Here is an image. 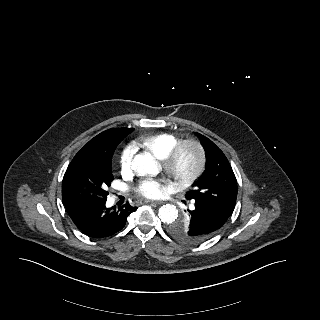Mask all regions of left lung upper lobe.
<instances>
[{
    "instance_id": "5c2ea615",
    "label": "left lung upper lobe",
    "mask_w": 320,
    "mask_h": 320,
    "mask_svg": "<svg viewBox=\"0 0 320 320\" xmlns=\"http://www.w3.org/2000/svg\"><path fill=\"white\" fill-rule=\"evenodd\" d=\"M206 154V168L194 184V189L186 193V199L200 202L230 217L237 198V181L224 153L207 137L196 133ZM187 218L177 219L169 225L170 234L185 243L200 242L191 234L192 226Z\"/></svg>"
}]
</instances>
